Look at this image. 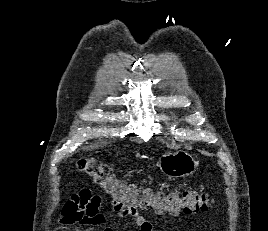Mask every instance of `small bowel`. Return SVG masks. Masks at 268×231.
<instances>
[{"label": "small bowel", "instance_id": "obj_1", "mask_svg": "<svg viewBox=\"0 0 268 231\" xmlns=\"http://www.w3.org/2000/svg\"><path fill=\"white\" fill-rule=\"evenodd\" d=\"M101 205V196L93 193L90 189H83L63 205L59 222L66 226L77 225L112 231L107 217L99 212ZM112 207L119 215L132 217L140 231H153V224L142 216L135 207L127 210L121 209L117 204H113Z\"/></svg>", "mask_w": 268, "mask_h": 231}]
</instances>
